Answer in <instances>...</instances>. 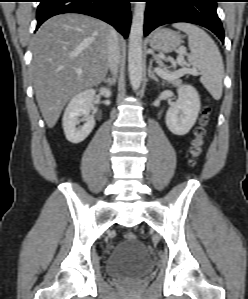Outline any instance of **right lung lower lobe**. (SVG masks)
<instances>
[{
    "instance_id": "obj_1",
    "label": "right lung lower lobe",
    "mask_w": 248,
    "mask_h": 299,
    "mask_svg": "<svg viewBox=\"0 0 248 299\" xmlns=\"http://www.w3.org/2000/svg\"><path fill=\"white\" fill-rule=\"evenodd\" d=\"M130 0H40L37 27L48 18L63 13H81L101 19L114 26L127 38L130 23Z\"/></svg>"
}]
</instances>
